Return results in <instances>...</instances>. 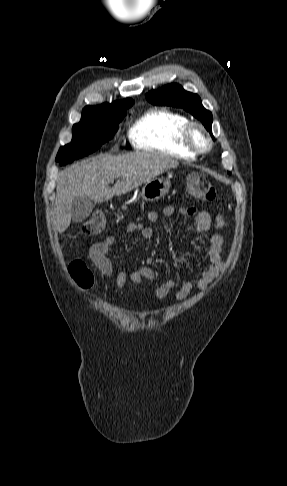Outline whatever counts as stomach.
<instances>
[{"instance_id": "0dacf381", "label": "stomach", "mask_w": 287, "mask_h": 486, "mask_svg": "<svg viewBox=\"0 0 287 486\" xmlns=\"http://www.w3.org/2000/svg\"><path fill=\"white\" fill-rule=\"evenodd\" d=\"M170 186L168 179H152L143 186L141 197L145 201H157L169 192Z\"/></svg>"}]
</instances>
